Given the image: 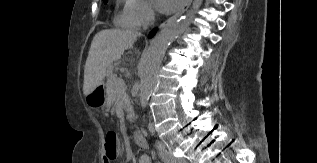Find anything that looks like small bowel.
<instances>
[{
    "mask_svg": "<svg viewBox=\"0 0 317 163\" xmlns=\"http://www.w3.org/2000/svg\"><path fill=\"white\" fill-rule=\"evenodd\" d=\"M103 163H109V161L107 160L106 157H104ZM137 163H151V159H150V157L147 156V155H141V156H139V158L137 159Z\"/></svg>",
    "mask_w": 317,
    "mask_h": 163,
    "instance_id": "c3829d8e",
    "label": "small bowel"
}]
</instances>
